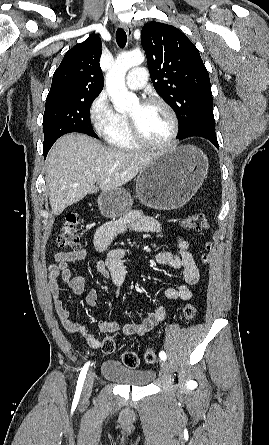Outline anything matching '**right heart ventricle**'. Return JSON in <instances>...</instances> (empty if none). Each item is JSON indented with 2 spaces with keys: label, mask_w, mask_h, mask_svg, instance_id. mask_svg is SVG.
I'll return each instance as SVG.
<instances>
[{
  "label": "right heart ventricle",
  "mask_w": 269,
  "mask_h": 445,
  "mask_svg": "<svg viewBox=\"0 0 269 445\" xmlns=\"http://www.w3.org/2000/svg\"><path fill=\"white\" fill-rule=\"evenodd\" d=\"M106 141L121 150H136L139 145L130 131L128 117L123 113H116L114 120L103 131Z\"/></svg>",
  "instance_id": "e07e8e85"
}]
</instances>
